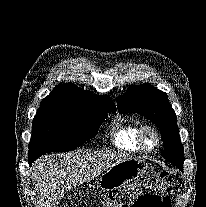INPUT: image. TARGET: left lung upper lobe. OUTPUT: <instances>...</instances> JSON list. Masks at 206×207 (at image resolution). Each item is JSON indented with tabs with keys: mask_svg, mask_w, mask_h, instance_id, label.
<instances>
[{
	"mask_svg": "<svg viewBox=\"0 0 206 207\" xmlns=\"http://www.w3.org/2000/svg\"><path fill=\"white\" fill-rule=\"evenodd\" d=\"M120 113H139L153 122L162 133V156L183 167L184 150L180 141L176 114L167 94L149 84L133 86L117 100Z\"/></svg>",
	"mask_w": 206,
	"mask_h": 207,
	"instance_id": "1",
	"label": "left lung upper lobe"
}]
</instances>
